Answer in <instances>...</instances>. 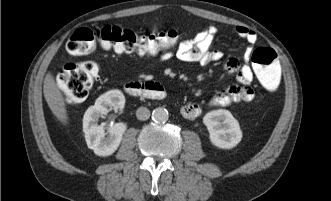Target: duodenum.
<instances>
[{"mask_svg": "<svg viewBox=\"0 0 331 201\" xmlns=\"http://www.w3.org/2000/svg\"><path fill=\"white\" fill-rule=\"evenodd\" d=\"M123 89L130 96L143 97L156 101L164 100L167 96L163 86L152 81H131L126 83Z\"/></svg>", "mask_w": 331, "mask_h": 201, "instance_id": "410a0bca", "label": "duodenum"}]
</instances>
